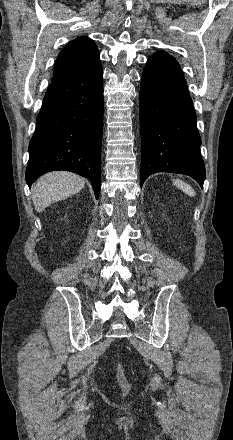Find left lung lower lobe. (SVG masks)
I'll return each instance as SVG.
<instances>
[{
  "label": "left lung lower lobe",
  "instance_id": "obj_1",
  "mask_svg": "<svg viewBox=\"0 0 233 440\" xmlns=\"http://www.w3.org/2000/svg\"><path fill=\"white\" fill-rule=\"evenodd\" d=\"M141 187L157 172L193 177L203 187L205 167L196 114L178 62L159 51L148 60L140 88Z\"/></svg>",
  "mask_w": 233,
  "mask_h": 440
}]
</instances>
